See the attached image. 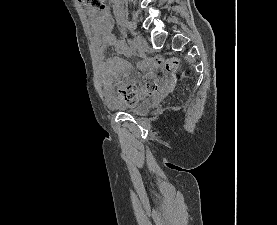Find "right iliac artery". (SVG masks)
<instances>
[{"mask_svg": "<svg viewBox=\"0 0 277 225\" xmlns=\"http://www.w3.org/2000/svg\"><path fill=\"white\" fill-rule=\"evenodd\" d=\"M129 47H130L131 51H133V52H135L137 49V47L133 41H130Z\"/></svg>", "mask_w": 277, "mask_h": 225, "instance_id": "1", "label": "right iliac artery"}]
</instances>
